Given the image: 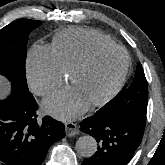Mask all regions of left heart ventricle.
<instances>
[{"label": "left heart ventricle", "instance_id": "obj_1", "mask_svg": "<svg viewBox=\"0 0 165 165\" xmlns=\"http://www.w3.org/2000/svg\"><path fill=\"white\" fill-rule=\"evenodd\" d=\"M125 63L122 52L99 53L93 62L72 79V85L91 103L103 97L118 79Z\"/></svg>", "mask_w": 165, "mask_h": 165}]
</instances>
